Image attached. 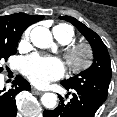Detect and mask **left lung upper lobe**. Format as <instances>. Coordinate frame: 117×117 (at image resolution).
Segmentation results:
<instances>
[{"instance_id": "left-lung-upper-lobe-1", "label": "left lung upper lobe", "mask_w": 117, "mask_h": 117, "mask_svg": "<svg viewBox=\"0 0 117 117\" xmlns=\"http://www.w3.org/2000/svg\"><path fill=\"white\" fill-rule=\"evenodd\" d=\"M60 19L73 24L90 43L94 61L92 65L78 75L61 82L63 86L81 89L104 102L108 95L109 83L112 76L110 56L107 47L94 31L70 16H60Z\"/></svg>"}]
</instances>
